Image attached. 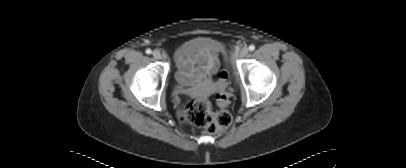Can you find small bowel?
Here are the masks:
<instances>
[{"label":"small bowel","instance_id":"c3829d8e","mask_svg":"<svg viewBox=\"0 0 406 168\" xmlns=\"http://www.w3.org/2000/svg\"><path fill=\"white\" fill-rule=\"evenodd\" d=\"M176 62L182 79L190 73L197 76H210L219 65L217 51L213 49H194L184 54H176Z\"/></svg>","mask_w":406,"mask_h":168}]
</instances>
